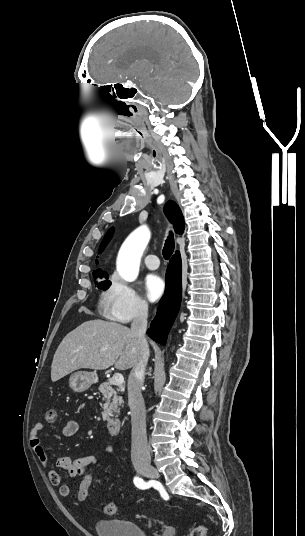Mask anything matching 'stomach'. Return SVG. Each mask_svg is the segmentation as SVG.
<instances>
[{"instance_id": "obj_1", "label": "stomach", "mask_w": 305, "mask_h": 536, "mask_svg": "<svg viewBox=\"0 0 305 536\" xmlns=\"http://www.w3.org/2000/svg\"><path fill=\"white\" fill-rule=\"evenodd\" d=\"M96 382L97 376L94 372H75L69 378V386L74 392H85Z\"/></svg>"}]
</instances>
